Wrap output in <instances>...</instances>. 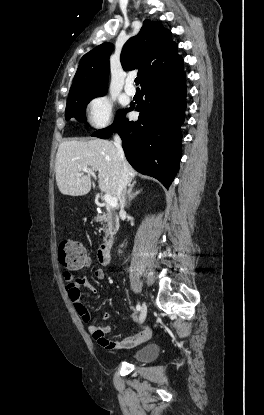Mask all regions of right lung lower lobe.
Masks as SVG:
<instances>
[{
    "mask_svg": "<svg viewBox=\"0 0 264 415\" xmlns=\"http://www.w3.org/2000/svg\"><path fill=\"white\" fill-rule=\"evenodd\" d=\"M186 73L148 83L142 87V101L136 122L125 115L134 106L121 111L112 126L95 131L92 136L107 139L116 131L129 163L140 173L158 179L169 187L179 169L186 109Z\"/></svg>",
    "mask_w": 264,
    "mask_h": 415,
    "instance_id": "obj_1",
    "label": "right lung lower lobe"
}]
</instances>
